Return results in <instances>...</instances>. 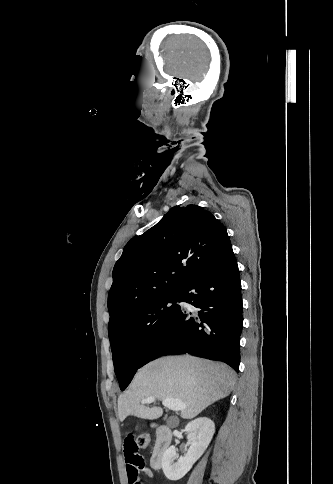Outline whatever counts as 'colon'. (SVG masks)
I'll return each mask as SVG.
<instances>
[{
	"label": "colon",
	"mask_w": 333,
	"mask_h": 484,
	"mask_svg": "<svg viewBox=\"0 0 333 484\" xmlns=\"http://www.w3.org/2000/svg\"><path fill=\"white\" fill-rule=\"evenodd\" d=\"M150 443V436L147 433L140 434L136 438V444L139 448H146Z\"/></svg>",
	"instance_id": "obj_1"
}]
</instances>
